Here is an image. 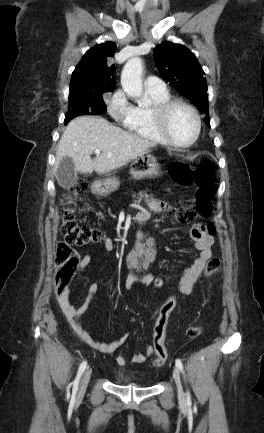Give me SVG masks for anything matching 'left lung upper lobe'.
I'll list each match as a JSON object with an SVG mask.
<instances>
[{
	"mask_svg": "<svg viewBox=\"0 0 264 433\" xmlns=\"http://www.w3.org/2000/svg\"><path fill=\"white\" fill-rule=\"evenodd\" d=\"M154 58L163 79L206 114L210 127L205 73L194 54L183 45L163 42L155 48Z\"/></svg>",
	"mask_w": 264,
	"mask_h": 433,
	"instance_id": "left-lung-upper-lobe-1",
	"label": "left lung upper lobe"
}]
</instances>
